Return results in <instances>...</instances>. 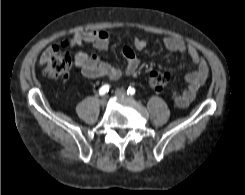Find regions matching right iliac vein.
<instances>
[{
  "instance_id": "63e3f726",
  "label": "right iliac vein",
  "mask_w": 245,
  "mask_h": 195,
  "mask_svg": "<svg viewBox=\"0 0 245 195\" xmlns=\"http://www.w3.org/2000/svg\"><path fill=\"white\" fill-rule=\"evenodd\" d=\"M108 101V97L107 96H103L100 100V103L102 106H105L107 104Z\"/></svg>"
}]
</instances>
